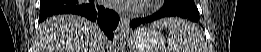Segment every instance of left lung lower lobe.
Segmentation results:
<instances>
[{
	"instance_id": "1",
	"label": "left lung lower lobe",
	"mask_w": 261,
	"mask_h": 52,
	"mask_svg": "<svg viewBox=\"0 0 261 52\" xmlns=\"http://www.w3.org/2000/svg\"><path fill=\"white\" fill-rule=\"evenodd\" d=\"M170 16L188 18L194 22L199 21V12H196L194 10H191L183 6H172V7L165 6L162 10H160L159 12L151 16L145 18L133 19L132 21H130V27L134 29L142 24L151 23L154 20H158L160 18L170 17Z\"/></svg>"
}]
</instances>
